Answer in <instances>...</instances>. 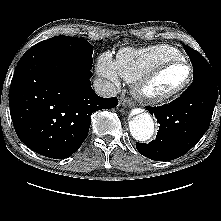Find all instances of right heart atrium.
Instances as JSON below:
<instances>
[{"mask_svg":"<svg viewBox=\"0 0 221 221\" xmlns=\"http://www.w3.org/2000/svg\"><path fill=\"white\" fill-rule=\"evenodd\" d=\"M96 71L99 77L107 79L115 85L120 81L115 61L109 53H103L99 56L96 64Z\"/></svg>","mask_w":221,"mask_h":221,"instance_id":"right-heart-atrium-1","label":"right heart atrium"}]
</instances>
